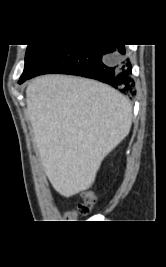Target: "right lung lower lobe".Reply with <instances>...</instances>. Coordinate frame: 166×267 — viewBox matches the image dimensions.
Returning a JSON list of instances; mask_svg holds the SVG:
<instances>
[{
	"label": "right lung lower lobe",
	"mask_w": 166,
	"mask_h": 267,
	"mask_svg": "<svg viewBox=\"0 0 166 267\" xmlns=\"http://www.w3.org/2000/svg\"><path fill=\"white\" fill-rule=\"evenodd\" d=\"M48 73L79 75L107 83L129 96L136 93L124 45H53L27 79Z\"/></svg>",
	"instance_id": "obj_1"
}]
</instances>
